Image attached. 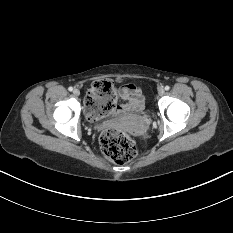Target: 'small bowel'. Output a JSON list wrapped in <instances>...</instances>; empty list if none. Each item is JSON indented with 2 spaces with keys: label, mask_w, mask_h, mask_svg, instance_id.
<instances>
[{
  "label": "small bowel",
  "mask_w": 233,
  "mask_h": 233,
  "mask_svg": "<svg viewBox=\"0 0 233 233\" xmlns=\"http://www.w3.org/2000/svg\"><path fill=\"white\" fill-rule=\"evenodd\" d=\"M116 95L117 99L126 101V103L117 104L115 111L118 113L142 110L144 108L141 89L134 83H129L119 88L116 90Z\"/></svg>",
  "instance_id": "1"
}]
</instances>
